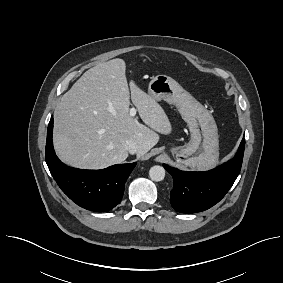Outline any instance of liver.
I'll list each match as a JSON object with an SVG mask.
<instances>
[{
    "instance_id": "liver-1",
    "label": "liver",
    "mask_w": 283,
    "mask_h": 283,
    "mask_svg": "<svg viewBox=\"0 0 283 283\" xmlns=\"http://www.w3.org/2000/svg\"><path fill=\"white\" fill-rule=\"evenodd\" d=\"M123 59H112L87 70L66 92L54 123V147L66 164L83 169H103L128 157V140L145 155L170 134L172 126L163 108L133 80L130 91ZM130 94L141 124L130 116Z\"/></svg>"
}]
</instances>
